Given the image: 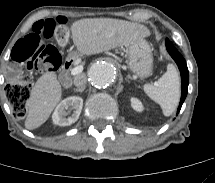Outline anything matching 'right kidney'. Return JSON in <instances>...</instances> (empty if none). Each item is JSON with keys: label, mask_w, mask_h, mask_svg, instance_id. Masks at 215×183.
<instances>
[{"label": "right kidney", "mask_w": 215, "mask_h": 183, "mask_svg": "<svg viewBox=\"0 0 215 183\" xmlns=\"http://www.w3.org/2000/svg\"><path fill=\"white\" fill-rule=\"evenodd\" d=\"M83 99L78 96H71L62 100L56 107L52 120L59 126H69L75 123L81 113ZM69 115L68 117H66Z\"/></svg>", "instance_id": "obj_1"}]
</instances>
